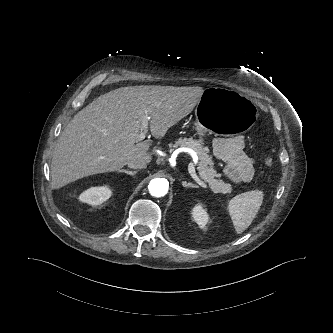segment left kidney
I'll use <instances>...</instances> for the list:
<instances>
[{
  "label": "left kidney",
  "mask_w": 333,
  "mask_h": 333,
  "mask_svg": "<svg viewBox=\"0 0 333 333\" xmlns=\"http://www.w3.org/2000/svg\"><path fill=\"white\" fill-rule=\"evenodd\" d=\"M192 216L201 229L206 228V224L209 221V216L206 210L200 204L193 208Z\"/></svg>",
  "instance_id": "left-kidney-1"
}]
</instances>
